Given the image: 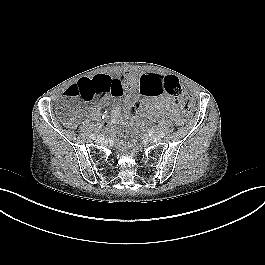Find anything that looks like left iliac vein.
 I'll return each instance as SVG.
<instances>
[{
    "label": "left iliac vein",
    "mask_w": 265,
    "mask_h": 265,
    "mask_svg": "<svg viewBox=\"0 0 265 265\" xmlns=\"http://www.w3.org/2000/svg\"><path fill=\"white\" fill-rule=\"evenodd\" d=\"M149 140L153 143H159L161 141V137L159 135L153 134L149 136Z\"/></svg>",
    "instance_id": "4c4485c4"
}]
</instances>
